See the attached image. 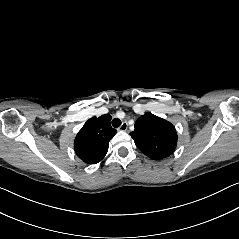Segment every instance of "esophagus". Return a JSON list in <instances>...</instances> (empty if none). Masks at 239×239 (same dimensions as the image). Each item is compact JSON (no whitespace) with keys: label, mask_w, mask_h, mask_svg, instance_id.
Returning a JSON list of instances; mask_svg holds the SVG:
<instances>
[{"label":"esophagus","mask_w":239,"mask_h":239,"mask_svg":"<svg viewBox=\"0 0 239 239\" xmlns=\"http://www.w3.org/2000/svg\"><path fill=\"white\" fill-rule=\"evenodd\" d=\"M128 128V124L126 122H123L121 126L118 128L119 131L125 132Z\"/></svg>","instance_id":"obj_1"}]
</instances>
